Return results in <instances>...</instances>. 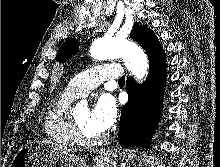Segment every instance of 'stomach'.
Listing matches in <instances>:
<instances>
[{"mask_svg": "<svg viewBox=\"0 0 220 167\" xmlns=\"http://www.w3.org/2000/svg\"><path fill=\"white\" fill-rule=\"evenodd\" d=\"M131 155L113 150L101 152L92 167H116L117 160L129 161ZM11 167H88L84 161L72 153L62 154L43 144L29 143L15 154Z\"/></svg>", "mask_w": 220, "mask_h": 167, "instance_id": "0dacf381", "label": "stomach"}]
</instances>
